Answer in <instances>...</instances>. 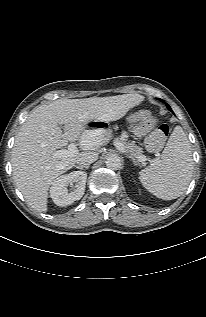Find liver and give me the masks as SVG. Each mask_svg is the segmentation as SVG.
<instances>
[{"label": "liver", "mask_w": 206, "mask_h": 317, "mask_svg": "<svg viewBox=\"0 0 206 317\" xmlns=\"http://www.w3.org/2000/svg\"><path fill=\"white\" fill-rule=\"evenodd\" d=\"M143 100L140 94L59 99L33 109L15 138L11 158L13 178L28 204L38 212H46L50 185L84 153L58 159L53 157L57 149L76 140H80L83 150L97 149L101 137L81 135L86 125L91 121L119 120ZM59 125H64L63 131ZM83 138L91 140V146H84Z\"/></svg>", "instance_id": "liver-1"}]
</instances>
